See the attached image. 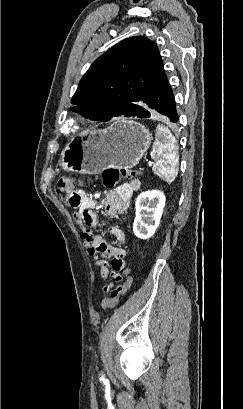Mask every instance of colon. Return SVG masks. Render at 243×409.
<instances>
[{
	"label": "colon",
	"instance_id": "1",
	"mask_svg": "<svg viewBox=\"0 0 243 409\" xmlns=\"http://www.w3.org/2000/svg\"><path fill=\"white\" fill-rule=\"evenodd\" d=\"M136 172L130 168H118L110 167L103 172V183L107 188H113L123 180H131L135 177ZM75 181L73 178H62L57 183L56 194L58 198L70 207H77L80 202V198L77 191L74 189ZM130 268L123 271L125 281L116 286L110 296L105 298L101 303L102 310H108L114 308L119 303L122 296L126 294L132 285V279L130 277Z\"/></svg>",
	"mask_w": 243,
	"mask_h": 409
}]
</instances>
